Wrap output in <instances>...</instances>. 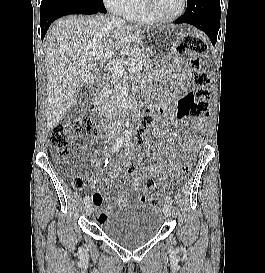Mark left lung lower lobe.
I'll return each instance as SVG.
<instances>
[{
	"instance_id": "0a47b994",
	"label": "left lung lower lobe",
	"mask_w": 265,
	"mask_h": 273,
	"mask_svg": "<svg viewBox=\"0 0 265 273\" xmlns=\"http://www.w3.org/2000/svg\"><path fill=\"white\" fill-rule=\"evenodd\" d=\"M220 17V0H187L186 12L175 23H187L201 29L215 45L220 27Z\"/></svg>"
}]
</instances>
